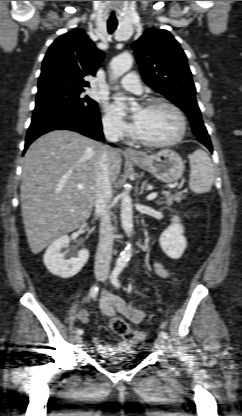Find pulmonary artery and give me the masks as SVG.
Here are the masks:
<instances>
[{
  "label": "pulmonary artery",
  "instance_id": "1",
  "mask_svg": "<svg viewBox=\"0 0 242 416\" xmlns=\"http://www.w3.org/2000/svg\"><path fill=\"white\" fill-rule=\"evenodd\" d=\"M131 93L139 94L142 91V85L138 75L134 72L128 73L116 86Z\"/></svg>",
  "mask_w": 242,
  "mask_h": 416
}]
</instances>
